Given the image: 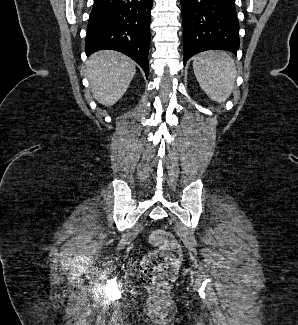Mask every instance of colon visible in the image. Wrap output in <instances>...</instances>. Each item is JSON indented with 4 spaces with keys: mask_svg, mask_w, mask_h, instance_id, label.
Here are the masks:
<instances>
[{
    "mask_svg": "<svg viewBox=\"0 0 298 325\" xmlns=\"http://www.w3.org/2000/svg\"><path fill=\"white\" fill-rule=\"evenodd\" d=\"M155 247L142 260L140 267L141 280L152 286H167L177 275L182 251L175 237L165 230H156L150 237Z\"/></svg>",
    "mask_w": 298,
    "mask_h": 325,
    "instance_id": "5ec220e1",
    "label": "colon"
}]
</instances>
